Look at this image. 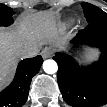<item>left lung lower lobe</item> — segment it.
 <instances>
[{
  "mask_svg": "<svg viewBox=\"0 0 107 107\" xmlns=\"http://www.w3.org/2000/svg\"><path fill=\"white\" fill-rule=\"evenodd\" d=\"M76 42L97 47L100 59L92 66L81 68L74 59L56 53L57 80L66 103L74 107H98L107 103V17L88 24L79 31Z\"/></svg>",
  "mask_w": 107,
  "mask_h": 107,
  "instance_id": "obj_1",
  "label": "left lung lower lobe"
}]
</instances>
